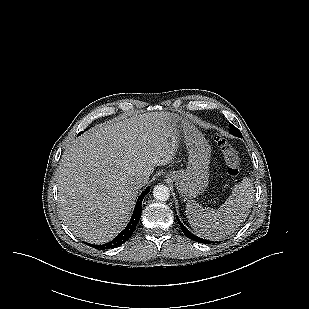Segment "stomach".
Listing matches in <instances>:
<instances>
[{
  "label": "stomach",
  "instance_id": "0dacf381",
  "mask_svg": "<svg viewBox=\"0 0 309 309\" xmlns=\"http://www.w3.org/2000/svg\"><path fill=\"white\" fill-rule=\"evenodd\" d=\"M166 114L169 124L180 128L188 151L187 168L171 171L166 178L175 183L182 196L192 199L208 187L211 148L204 135L189 121L174 113Z\"/></svg>",
  "mask_w": 309,
  "mask_h": 309
}]
</instances>
